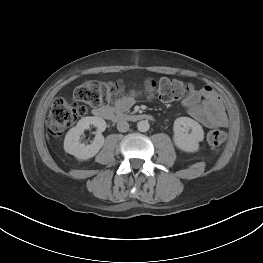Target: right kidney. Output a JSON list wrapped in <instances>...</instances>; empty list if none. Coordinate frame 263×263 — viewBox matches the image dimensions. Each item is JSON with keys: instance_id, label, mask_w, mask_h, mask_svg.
Masks as SVG:
<instances>
[{"instance_id": "1", "label": "right kidney", "mask_w": 263, "mask_h": 263, "mask_svg": "<svg viewBox=\"0 0 263 263\" xmlns=\"http://www.w3.org/2000/svg\"><path fill=\"white\" fill-rule=\"evenodd\" d=\"M90 125L97 127V134L90 145L81 143L80 136ZM106 129V122L99 117H84L78 121L77 125L71 128L64 139V150L74 155L79 160H86L94 157L104 144L102 132Z\"/></svg>"}]
</instances>
